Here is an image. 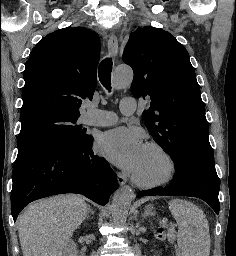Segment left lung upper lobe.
I'll return each mask as SVG.
<instances>
[{"instance_id": "1", "label": "left lung upper lobe", "mask_w": 236, "mask_h": 256, "mask_svg": "<svg viewBox=\"0 0 236 256\" xmlns=\"http://www.w3.org/2000/svg\"><path fill=\"white\" fill-rule=\"evenodd\" d=\"M132 67L131 92L148 99L143 119L175 164L189 155L214 159L196 74L189 54L169 32L139 27L123 53Z\"/></svg>"}]
</instances>
